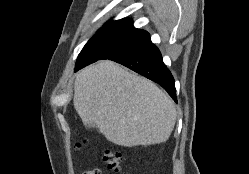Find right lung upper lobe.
Listing matches in <instances>:
<instances>
[{
	"instance_id": "right-lung-upper-lobe-1",
	"label": "right lung upper lobe",
	"mask_w": 249,
	"mask_h": 174,
	"mask_svg": "<svg viewBox=\"0 0 249 174\" xmlns=\"http://www.w3.org/2000/svg\"><path fill=\"white\" fill-rule=\"evenodd\" d=\"M132 24H133V21L131 19L124 18L118 21H109L100 30H106V29H110L113 27H119V26H132Z\"/></svg>"
}]
</instances>
